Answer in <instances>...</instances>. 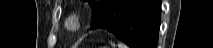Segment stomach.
<instances>
[{
  "label": "stomach",
  "mask_w": 213,
  "mask_h": 48,
  "mask_svg": "<svg viewBox=\"0 0 213 48\" xmlns=\"http://www.w3.org/2000/svg\"><path fill=\"white\" fill-rule=\"evenodd\" d=\"M100 33H102V34H103L104 32H103V31H100Z\"/></svg>",
  "instance_id": "obj_1"
}]
</instances>
